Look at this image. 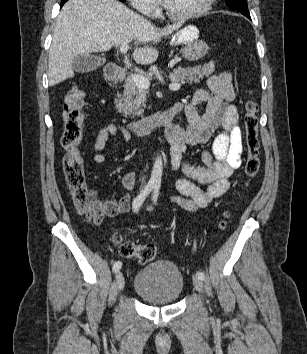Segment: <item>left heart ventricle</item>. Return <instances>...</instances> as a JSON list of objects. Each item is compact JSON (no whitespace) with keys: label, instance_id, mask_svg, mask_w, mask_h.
I'll return each instance as SVG.
<instances>
[{"label":"left heart ventricle","instance_id":"obj_1","mask_svg":"<svg viewBox=\"0 0 307 354\" xmlns=\"http://www.w3.org/2000/svg\"><path fill=\"white\" fill-rule=\"evenodd\" d=\"M205 0H166V7L175 14H185L200 8Z\"/></svg>","mask_w":307,"mask_h":354}]
</instances>
